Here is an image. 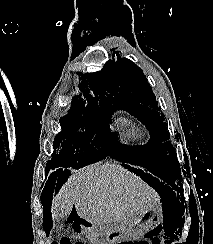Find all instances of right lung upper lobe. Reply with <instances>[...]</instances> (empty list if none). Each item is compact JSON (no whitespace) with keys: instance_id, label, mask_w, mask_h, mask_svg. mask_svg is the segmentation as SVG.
Returning a JSON list of instances; mask_svg holds the SVG:
<instances>
[{"instance_id":"cb5924a9","label":"right lung upper lobe","mask_w":213,"mask_h":244,"mask_svg":"<svg viewBox=\"0 0 213 244\" xmlns=\"http://www.w3.org/2000/svg\"><path fill=\"white\" fill-rule=\"evenodd\" d=\"M94 76L95 74L83 75V80L87 78V81H89L90 89L85 91V83L80 84L79 90L82 91V93L73 97L71 109L77 108L101 112H110L109 107L98 99V93L93 84V81L95 79Z\"/></svg>"}]
</instances>
